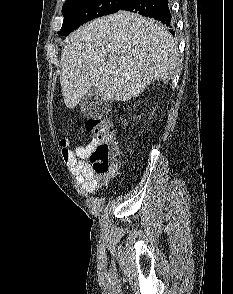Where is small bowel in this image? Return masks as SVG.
<instances>
[{"instance_id":"obj_1","label":"small bowel","mask_w":233,"mask_h":294,"mask_svg":"<svg viewBox=\"0 0 233 294\" xmlns=\"http://www.w3.org/2000/svg\"><path fill=\"white\" fill-rule=\"evenodd\" d=\"M62 153L69 166L75 169L84 180L87 191L94 192L105 183V178L98 176L88 162V154L92 144L86 146H76L75 150L69 148L68 141H62Z\"/></svg>"}]
</instances>
